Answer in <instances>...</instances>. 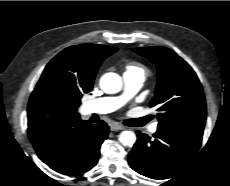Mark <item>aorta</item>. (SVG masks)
Listing matches in <instances>:
<instances>
[{
  "label": "aorta",
  "instance_id": "obj_1",
  "mask_svg": "<svg viewBox=\"0 0 230 186\" xmlns=\"http://www.w3.org/2000/svg\"><path fill=\"white\" fill-rule=\"evenodd\" d=\"M100 88L107 94L118 93L122 88V79L116 73H106L100 79ZM119 142L131 147L136 142V135L133 131H122L119 135Z\"/></svg>",
  "mask_w": 230,
  "mask_h": 186
}]
</instances>
